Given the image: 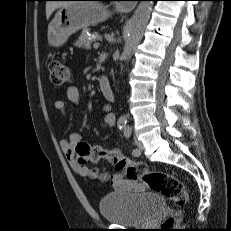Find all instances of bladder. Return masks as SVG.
<instances>
[{
    "label": "bladder",
    "mask_w": 231,
    "mask_h": 231,
    "mask_svg": "<svg viewBox=\"0 0 231 231\" xmlns=\"http://www.w3.org/2000/svg\"><path fill=\"white\" fill-rule=\"evenodd\" d=\"M166 208L158 193L113 192L104 196L98 209L104 220L123 226H141L156 219Z\"/></svg>",
    "instance_id": "obj_1"
}]
</instances>
